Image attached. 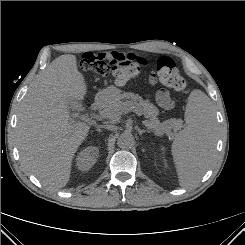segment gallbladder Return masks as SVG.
<instances>
[{
  "label": "gallbladder",
  "mask_w": 245,
  "mask_h": 245,
  "mask_svg": "<svg viewBox=\"0 0 245 245\" xmlns=\"http://www.w3.org/2000/svg\"><path fill=\"white\" fill-rule=\"evenodd\" d=\"M67 107L69 110H82L83 104L80 100L76 98H70L67 100Z\"/></svg>",
  "instance_id": "obj_1"
}]
</instances>
